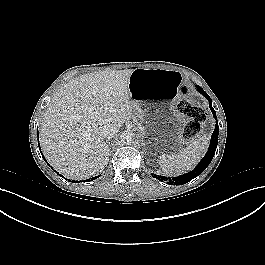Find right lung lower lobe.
I'll list each match as a JSON object with an SVG mask.
<instances>
[{
  "label": "right lung lower lobe",
  "mask_w": 265,
  "mask_h": 265,
  "mask_svg": "<svg viewBox=\"0 0 265 265\" xmlns=\"http://www.w3.org/2000/svg\"><path fill=\"white\" fill-rule=\"evenodd\" d=\"M40 152H41V149H40ZM41 154H42V152H41ZM42 157H43V159L46 161V159L44 158L43 154H42ZM46 162H47V161H46ZM99 176H100V175H98V176H96V177H92L91 179H87V180H85V182L92 181V180L98 178ZM70 182H71V181H70ZM72 182H73V183H77V181H74V180H72Z\"/></svg>",
  "instance_id": "obj_1"
}]
</instances>
